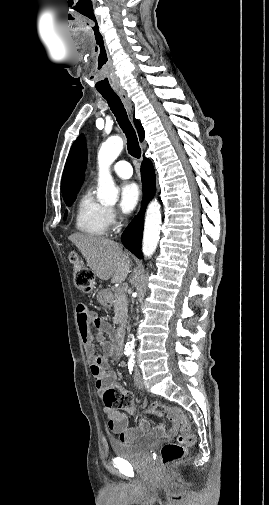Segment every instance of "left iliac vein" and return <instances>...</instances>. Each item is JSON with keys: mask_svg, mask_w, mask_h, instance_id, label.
<instances>
[{"mask_svg": "<svg viewBox=\"0 0 269 505\" xmlns=\"http://www.w3.org/2000/svg\"><path fill=\"white\" fill-rule=\"evenodd\" d=\"M133 378H134V384H135V386L138 389H143L144 383H143V379H142V374H141V372H140V370L138 369L137 366L134 368Z\"/></svg>", "mask_w": 269, "mask_h": 505, "instance_id": "left-iliac-vein-1", "label": "left iliac vein"}]
</instances>
